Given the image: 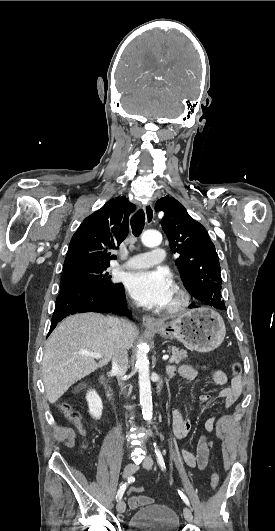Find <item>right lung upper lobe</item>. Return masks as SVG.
Masks as SVG:
<instances>
[{
  "mask_svg": "<svg viewBox=\"0 0 275 531\" xmlns=\"http://www.w3.org/2000/svg\"><path fill=\"white\" fill-rule=\"evenodd\" d=\"M136 209L126 197L109 200L88 216L74 233L63 271L80 266H109L116 249L128 234L129 216Z\"/></svg>",
  "mask_w": 275,
  "mask_h": 531,
  "instance_id": "1",
  "label": "right lung upper lobe"
}]
</instances>
